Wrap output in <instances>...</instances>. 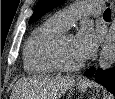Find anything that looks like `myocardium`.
Listing matches in <instances>:
<instances>
[{"label":"myocardium","mask_w":115,"mask_h":99,"mask_svg":"<svg viewBox=\"0 0 115 99\" xmlns=\"http://www.w3.org/2000/svg\"><path fill=\"white\" fill-rule=\"evenodd\" d=\"M69 34H61L53 43L51 48V59L59 70L62 71H76L83 67L84 62L81 61L76 64H70L65 61L62 55V42Z\"/></svg>","instance_id":"obj_1"}]
</instances>
